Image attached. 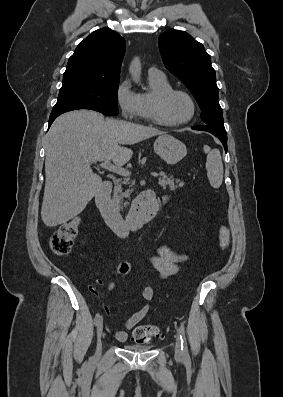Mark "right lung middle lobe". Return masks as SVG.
Masks as SVG:
<instances>
[{
	"mask_svg": "<svg viewBox=\"0 0 283 397\" xmlns=\"http://www.w3.org/2000/svg\"><path fill=\"white\" fill-rule=\"evenodd\" d=\"M119 78L108 79L78 73L63 75L56 107H86L102 114H118Z\"/></svg>",
	"mask_w": 283,
	"mask_h": 397,
	"instance_id": "dd1d6c3e",
	"label": "right lung middle lobe"
}]
</instances>
